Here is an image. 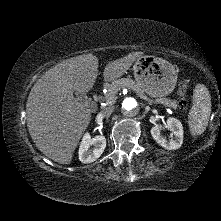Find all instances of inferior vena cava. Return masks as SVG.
I'll return each instance as SVG.
<instances>
[{
	"label": "inferior vena cava",
	"mask_w": 221,
	"mask_h": 221,
	"mask_svg": "<svg viewBox=\"0 0 221 221\" xmlns=\"http://www.w3.org/2000/svg\"><path fill=\"white\" fill-rule=\"evenodd\" d=\"M114 110V106H107L101 111V115L104 117H109Z\"/></svg>",
	"instance_id": "obj_1"
}]
</instances>
